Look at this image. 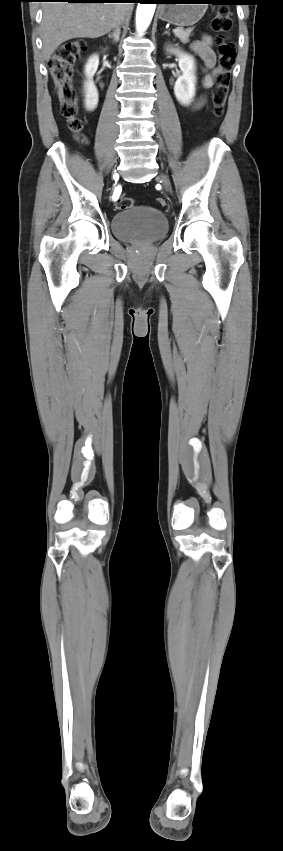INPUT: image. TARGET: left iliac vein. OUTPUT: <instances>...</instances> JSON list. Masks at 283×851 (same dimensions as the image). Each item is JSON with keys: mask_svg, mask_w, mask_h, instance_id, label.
Instances as JSON below:
<instances>
[{"mask_svg": "<svg viewBox=\"0 0 283 851\" xmlns=\"http://www.w3.org/2000/svg\"><path fill=\"white\" fill-rule=\"evenodd\" d=\"M160 179L162 180L165 189L167 191L171 192V185H170L169 179L164 174L160 175Z\"/></svg>", "mask_w": 283, "mask_h": 851, "instance_id": "left-iliac-vein-1", "label": "left iliac vein"}]
</instances>
